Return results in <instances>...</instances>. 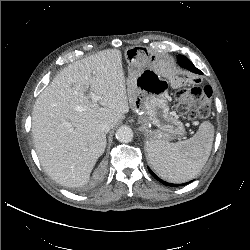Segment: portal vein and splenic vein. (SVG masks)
<instances>
[{
    "instance_id": "obj_1",
    "label": "portal vein and splenic vein",
    "mask_w": 250,
    "mask_h": 250,
    "mask_svg": "<svg viewBox=\"0 0 250 250\" xmlns=\"http://www.w3.org/2000/svg\"><path fill=\"white\" fill-rule=\"evenodd\" d=\"M91 98H92V100L95 101V102L98 101V99H99V98H98L96 95H94V94L91 95Z\"/></svg>"
}]
</instances>
